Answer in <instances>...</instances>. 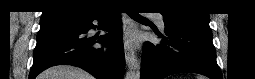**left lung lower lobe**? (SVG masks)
Listing matches in <instances>:
<instances>
[{
	"instance_id": "0a47b994",
	"label": "left lung lower lobe",
	"mask_w": 255,
	"mask_h": 79,
	"mask_svg": "<svg viewBox=\"0 0 255 79\" xmlns=\"http://www.w3.org/2000/svg\"><path fill=\"white\" fill-rule=\"evenodd\" d=\"M165 33V37L160 35L163 44H144L140 79H163L183 72L222 79L209 26L165 25Z\"/></svg>"
}]
</instances>
